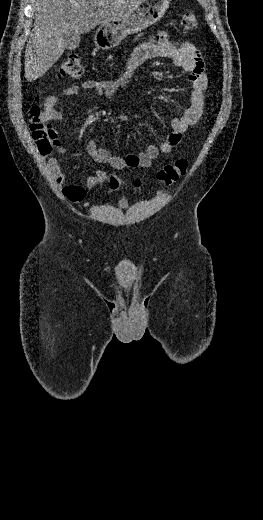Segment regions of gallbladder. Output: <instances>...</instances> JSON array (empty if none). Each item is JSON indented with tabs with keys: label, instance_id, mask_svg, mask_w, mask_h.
<instances>
[{
	"label": "gallbladder",
	"instance_id": "gallbladder-1",
	"mask_svg": "<svg viewBox=\"0 0 263 520\" xmlns=\"http://www.w3.org/2000/svg\"><path fill=\"white\" fill-rule=\"evenodd\" d=\"M64 47L68 50H75L80 43V35L78 34H64L63 35Z\"/></svg>",
	"mask_w": 263,
	"mask_h": 520
}]
</instances>
